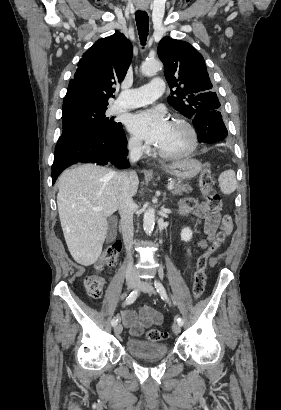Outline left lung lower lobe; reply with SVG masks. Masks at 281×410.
Segmentation results:
<instances>
[{
	"mask_svg": "<svg viewBox=\"0 0 281 410\" xmlns=\"http://www.w3.org/2000/svg\"><path fill=\"white\" fill-rule=\"evenodd\" d=\"M193 125L198 134V141L215 143L227 137V129L218 110L198 113L193 118Z\"/></svg>",
	"mask_w": 281,
	"mask_h": 410,
	"instance_id": "left-lung-lower-lobe-1",
	"label": "left lung lower lobe"
}]
</instances>
